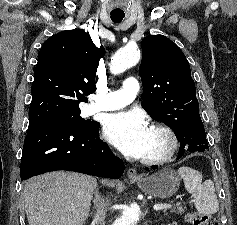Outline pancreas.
I'll return each mask as SVG.
<instances>
[{"instance_id":"cf45deb5","label":"pancreas","mask_w":237,"mask_h":225,"mask_svg":"<svg viewBox=\"0 0 237 225\" xmlns=\"http://www.w3.org/2000/svg\"><path fill=\"white\" fill-rule=\"evenodd\" d=\"M172 212H175L177 214H182V213H184V209H183V207H177V208H174L172 210Z\"/></svg>"}]
</instances>
